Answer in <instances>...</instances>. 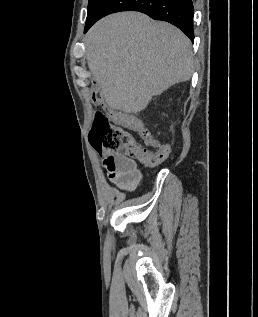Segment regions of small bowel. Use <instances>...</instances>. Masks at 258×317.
Returning a JSON list of instances; mask_svg holds the SVG:
<instances>
[{"instance_id": "1", "label": "small bowel", "mask_w": 258, "mask_h": 317, "mask_svg": "<svg viewBox=\"0 0 258 317\" xmlns=\"http://www.w3.org/2000/svg\"><path fill=\"white\" fill-rule=\"evenodd\" d=\"M116 123L136 131L154 151L164 154V160L169 156L170 146L155 138L139 118L120 114ZM103 165L108 172L110 181L120 190L134 191L137 189L141 180V173L132 159L120 155L108 156L104 158Z\"/></svg>"}]
</instances>
